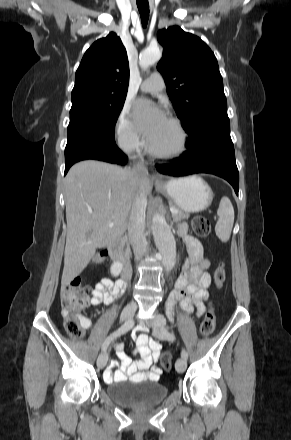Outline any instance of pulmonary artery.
I'll use <instances>...</instances> for the list:
<instances>
[{"instance_id": "e3ab8cb5", "label": "pulmonary artery", "mask_w": 291, "mask_h": 440, "mask_svg": "<svg viewBox=\"0 0 291 440\" xmlns=\"http://www.w3.org/2000/svg\"><path fill=\"white\" fill-rule=\"evenodd\" d=\"M165 86V81L159 73H153L140 86L144 92L155 93L161 91Z\"/></svg>"}]
</instances>
